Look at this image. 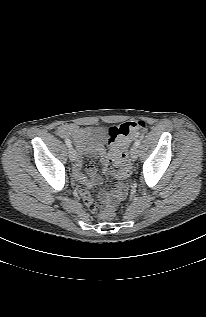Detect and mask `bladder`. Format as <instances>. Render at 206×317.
<instances>
[{"instance_id":"1","label":"bladder","mask_w":206,"mask_h":317,"mask_svg":"<svg viewBox=\"0 0 206 317\" xmlns=\"http://www.w3.org/2000/svg\"><path fill=\"white\" fill-rule=\"evenodd\" d=\"M107 139V134L104 129L98 127L90 130L85 134L84 143L100 146Z\"/></svg>"}]
</instances>
